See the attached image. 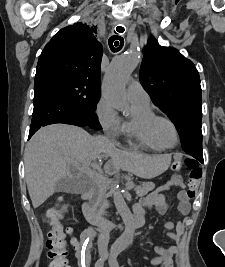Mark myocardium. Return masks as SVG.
Masks as SVG:
<instances>
[{
  "label": "myocardium",
  "instance_id": "obj_1",
  "mask_svg": "<svg viewBox=\"0 0 225 267\" xmlns=\"http://www.w3.org/2000/svg\"><path fill=\"white\" fill-rule=\"evenodd\" d=\"M161 122H167L169 123L174 131H175V134H176V142L174 145L172 146H166L164 144H162L159 140V137H158V133H157V128H158V125L161 123ZM150 130H151V133L153 135V138L154 140L158 143V145L162 148V149H172V148H175L179 142H180V133H179V129L176 125V123L169 117L167 116H162V115H155L151 121H150Z\"/></svg>",
  "mask_w": 225,
  "mask_h": 267
}]
</instances>
